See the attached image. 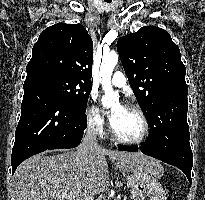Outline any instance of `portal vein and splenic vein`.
I'll list each match as a JSON object with an SVG mask.
<instances>
[{"label": "portal vein and splenic vein", "mask_w": 205, "mask_h": 200, "mask_svg": "<svg viewBox=\"0 0 205 200\" xmlns=\"http://www.w3.org/2000/svg\"><path fill=\"white\" fill-rule=\"evenodd\" d=\"M65 196L70 197V196H72V194H66Z\"/></svg>", "instance_id": "obj_1"}]
</instances>
